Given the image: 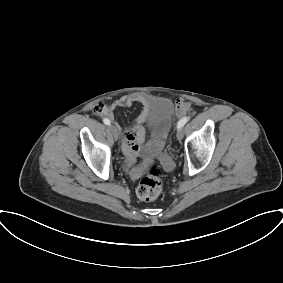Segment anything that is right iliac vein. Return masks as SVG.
<instances>
[{"label": "right iliac vein", "instance_id": "obj_1", "mask_svg": "<svg viewBox=\"0 0 283 283\" xmlns=\"http://www.w3.org/2000/svg\"><path fill=\"white\" fill-rule=\"evenodd\" d=\"M109 130L111 131V133L113 134L115 139H118L119 133L117 128L114 125H110L109 126Z\"/></svg>", "mask_w": 283, "mask_h": 283}]
</instances>
